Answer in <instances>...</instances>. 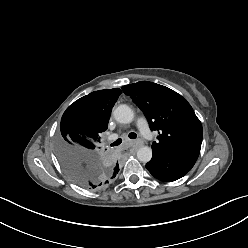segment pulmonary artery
Returning a JSON list of instances; mask_svg holds the SVG:
<instances>
[{
    "instance_id": "1",
    "label": "pulmonary artery",
    "mask_w": 248,
    "mask_h": 248,
    "mask_svg": "<svg viewBox=\"0 0 248 248\" xmlns=\"http://www.w3.org/2000/svg\"><path fill=\"white\" fill-rule=\"evenodd\" d=\"M137 126H138V129H139L141 135L144 138H148L150 135V128L148 126L146 119L145 118H139L137 121ZM116 136H117L116 134L112 135L113 138H115Z\"/></svg>"
}]
</instances>
